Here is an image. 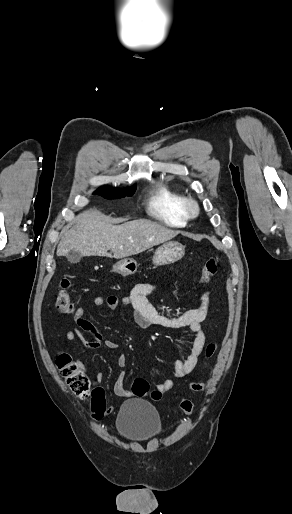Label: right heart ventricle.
<instances>
[{
  "instance_id": "1",
  "label": "right heart ventricle",
  "mask_w": 292,
  "mask_h": 514,
  "mask_svg": "<svg viewBox=\"0 0 292 514\" xmlns=\"http://www.w3.org/2000/svg\"><path fill=\"white\" fill-rule=\"evenodd\" d=\"M185 194L162 182L148 188L146 193V208L155 219L172 227H183L188 217L183 211L182 203Z\"/></svg>"
}]
</instances>
